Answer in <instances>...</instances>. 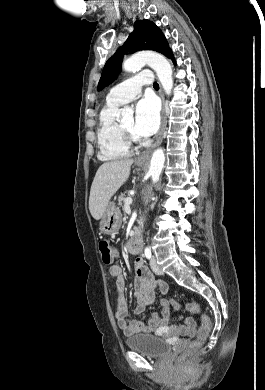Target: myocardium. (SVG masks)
Segmentation results:
<instances>
[{"mask_svg": "<svg viewBox=\"0 0 265 390\" xmlns=\"http://www.w3.org/2000/svg\"><path fill=\"white\" fill-rule=\"evenodd\" d=\"M120 130H121V133L123 135V138H124L125 142L129 146H133V145H136V144L139 143V138L136 137L133 133H131L127 129H125L122 124L120 125Z\"/></svg>", "mask_w": 265, "mask_h": 390, "instance_id": "obj_1", "label": "myocardium"}]
</instances>
